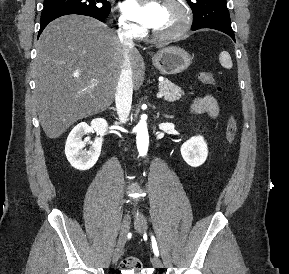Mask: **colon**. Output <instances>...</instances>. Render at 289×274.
I'll list each match as a JSON object with an SVG mask.
<instances>
[{
	"mask_svg": "<svg viewBox=\"0 0 289 274\" xmlns=\"http://www.w3.org/2000/svg\"><path fill=\"white\" fill-rule=\"evenodd\" d=\"M200 80L207 86L216 88L217 91H221V87L217 85L214 75L209 71L200 73ZM237 134V123L234 117H230L226 126V139L229 143H233ZM120 268L123 271H144L141 261L133 256L124 258L120 264Z\"/></svg>",
	"mask_w": 289,
	"mask_h": 274,
	"instance_id": "colon-1",
	"label": "colon"
}]
</instances>
